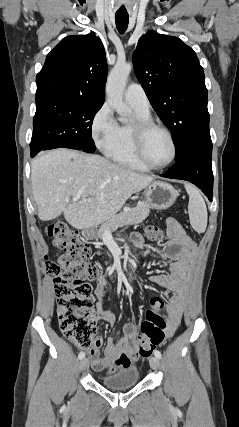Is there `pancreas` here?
<instances>
[{
    "label": "pancreas",
    "mask_w": 239,
    "mask_h": 427,
    "mask_svg": "<svg viewBox=\"0 0 239 427\" xmlns=\"http://www.w3.org/2000/svg\"><path fill=\"white\" fill-rule=\"evenodd\" d=\"M149 213L148 203L140 202L135 208L123 211L103 223L98 230V237L103 239L107 231L113 232L118 227L139 224L148 217Z\"/></svg>",
    "instance_id": "1"
}]
</instances>
